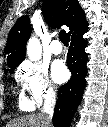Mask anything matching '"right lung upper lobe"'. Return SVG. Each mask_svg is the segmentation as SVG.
Segmentation results:
<instances>
[{
  "label": "right lung upper lobe",
  "instance_id": "cb5924a9",
  "mask_svg": "<svg viewBox=\"0 0 108 127\" xmlns=\"http://www.w3.org/2000/svg\"><path fill=\"white\" fill-rule=\"evenodd\" d=\"M42 11L45 21L52 28L66 25L70 28L68 35L80 28L86 22L85 13L77 0H44ZM31 34L28 16L20 17L10 30L5 53L7 65L21 63L26 54V43Z\"/></svg>",
  "mask_w": 108,
  "mask_h": 127
}]
</instances>
